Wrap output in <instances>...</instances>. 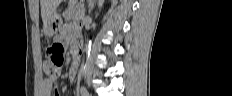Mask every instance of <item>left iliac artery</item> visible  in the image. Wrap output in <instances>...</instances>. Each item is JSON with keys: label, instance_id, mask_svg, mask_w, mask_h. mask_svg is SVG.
Returning <instances> with one entry per match:
<instances>
[{"label": "left iliac artery", "instance_id": "1", "mask_svg": "<svg viewBox=\"0 0 232 96\" xmlns=\"http://www.w3.org/2000/svg\"><path fill=\"white\" fill-rule=\"evenodd\" d=\"M81 95L82 96H89V93L85 88H81Z\"/></svg>", "mask_w": 232, "mask_h": 96}]
</instances>
